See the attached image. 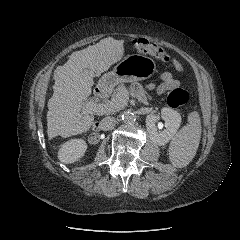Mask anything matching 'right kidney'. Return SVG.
Instances as JSON below:
<instances>
[{
    "label": "right kidney",
    "mask_w": 240,
    "mask_h": 240,
    "mask_svg": "<svg viewBox=\"0 0 240 240\" xmlns=\"http://www.w3.org/2000/svg\"><path fill=\"white\" fill-rule=\"evenodd\" d=\"M87 150L83 139H71L63 143L58 151V159L65 164L74 163L82 158Z\"/></svg>",
    "instance_id": "1"
}]
</instances>
